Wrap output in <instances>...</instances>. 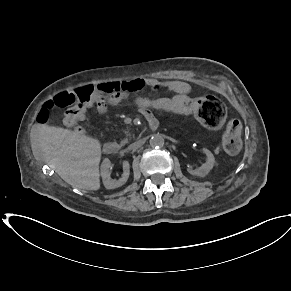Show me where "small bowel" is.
<instances>
[{
  "label": "small bowel",
  "mask_w": 291,
  "mask_h": 291,
  "mask_svg": "<svg viewBox=\"0 0 291 291\" xmlns=\"http://www.w3.org/2000/svg\"><path fill=\"white\" fill-rule=\"evenodd\" d=\"M124 84L126 89L123 92L102 100L97 104V110L100 114H105L108 107L120 105L130 94L141 91L144 88L152 91H171L175 93L172 98H176L177 96H188L191 98L189 95L190 86L183 81L134 78L124 82ZM151 109H155V107H146L144 103H140V111L148 120L154 119Z\"/></svg>",
  "instance_id": "obj_1"
}]
</instances>
